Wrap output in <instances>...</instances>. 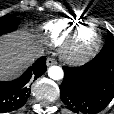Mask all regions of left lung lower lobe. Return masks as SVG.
I'll return each mask as SVG.
<instances>
[{"label":"left lung lower lobe","instance_id":"1","mask_svg":"<svg viewBox=\"0 0 114 114\" xmlns=\"http://www.w3.org/2000/svg\"><path fill=\"white\" fill-rule=\"evenodd\" d=\"M59 86L65 106L78 114H95L114 98V53L101 51L83 67H63Z\"/></svg>","mask_w":114,"mask_h":114}]
</instances>
